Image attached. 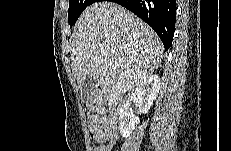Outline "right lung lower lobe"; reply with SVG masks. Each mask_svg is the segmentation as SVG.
I'll list each match as a JSON object with an SVG mask.
<instances>
[{
  "label": "right lung lower lobe",
  "mask_w": 231,
  "mask_h": 151,
  "mask_svg": "<svg viewBox=\"0 0 231 151\" xmlns=\"http://www.w3.org/2000/svg\"><path fill=\"white\" fill-rule=\"evenodd\" d=\"M112 1L127 8L150 25L160 37L165 50L171 47L175 31L176 0Z\"/></svg>",
  "instance_id": "1"
}]
</instances>
